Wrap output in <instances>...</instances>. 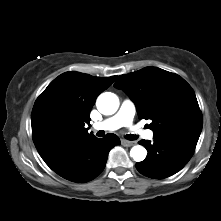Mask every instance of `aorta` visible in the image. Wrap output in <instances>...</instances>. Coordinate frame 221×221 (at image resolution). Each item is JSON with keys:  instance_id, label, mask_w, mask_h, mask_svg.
<instances>
[{"instance_id": "aorta-1", "label": "aorta", "mask_w": 221, "mask_h": 221, "mask_svg": "<svg viewBox=\"0 0 221 221\" xmlns=\"http://www.w3.org/2000/svg\"><path fill=\"white\" fill-rule=\"evenodd\" d=\"M97 109L104 115L114 114L119 107V99L116 94L105 92L99 95L96 101ZM147 151L141 145L133 146L130 156L136 161L141 162L146 158Z\"/></svg>"}]
</instances>
